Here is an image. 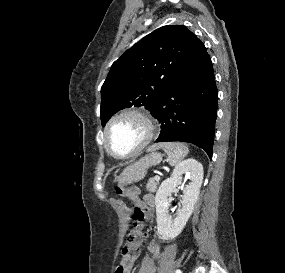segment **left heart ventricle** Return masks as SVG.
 Segmentation results:
<instances>
[{"label": "left heart ventricle", "instance_id": "1", "mask_svg": "<svg viewBox=\"0 0 285 273\" xmlns=\"http://www.w3.org/2000/svg\"><path fill=\"white\" fill-rule=\"evenodd\" d=\"M145 135L144 124L136 117L126 116L110 128L108 142L112 151L119 155L131 152Z\"/></svg>", "mask_w": 285, "mask_h": 273}]
</instances>
